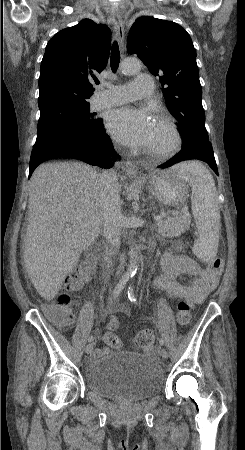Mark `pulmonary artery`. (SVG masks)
<instances>
[{"label": "pulmonary artery", "mask_w": 245, "mask_h": 450, "mask_svg": "<svg viewBox=\"0 0 245 450\" xmlns=\"http://www.w3.org/2000/svg\"><path fill=\"white\" fill-rule=\"evenodd\" d=\"M153 77L142 74L131 82L120 85H110L105 90L96 93L95 106L107 107L131 102L140 97L153 94Z\"/></svg>", "instance_id": "1"}]
</instances>
